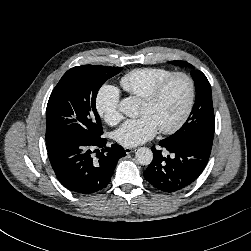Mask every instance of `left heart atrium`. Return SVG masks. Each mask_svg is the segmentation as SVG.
Segmentation results:
<instances>
[{
  "label": "left heart atrium",
  "mask_w": 251,
  "mask_h": 251,
  "mask_svg": "<svg viewBox=\"0 0 251 251\" xmlns=\"http://www.w3.org/2000/svg\"><path fill=\"white\" fill-rule=\"evenodd\" d=\"M157 125L148 115L127 120L114 134L115 140L122 146L135 147L155 136Z\"/></svg>",
  "instance_id": "obj_1"
}]
</instances>
